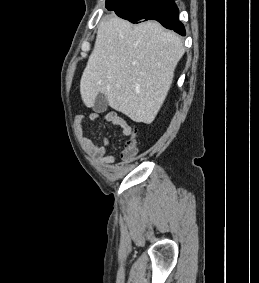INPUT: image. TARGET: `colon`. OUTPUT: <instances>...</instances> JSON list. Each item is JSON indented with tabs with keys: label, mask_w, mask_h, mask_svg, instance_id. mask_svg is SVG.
<instances>
[{
	"label": "colon",
	"mask_w": 259,
	"mask_h": 283,
	"mask_svg": "<svg viewBox=\"0 0 259 283\" xmlns=\"http://www.w3.org/2000/svg\"><path fill=\"white\" fill-rule=\"evenodd\" d=\"M136 153H137L136 131H133V134L124 143L122 158L124 160H131L135 157Z\"/></svg>",
	"instance_id": "1"
}]
</instances>
